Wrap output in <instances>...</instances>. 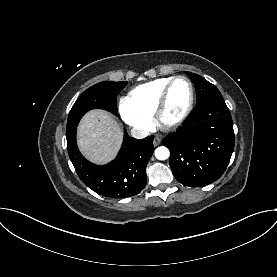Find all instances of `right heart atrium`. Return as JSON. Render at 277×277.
I'll list each match as a JSON object with an SVG mask.
<instances>
[{"label": "right heart atrium", "instance_id": "right-heart-atrium-1", "mask_svg": "<svg viewBox=\"0 0 277 277\" xmlns=\"http://www.w3.org/2000/svg\"><path fill=\"white\" fill-rule=\"evenodd\" d=\"M119 110L123 121L131 128L145 132L151 127V118L133 109L126 100L121 102Z\"/></svg>", "mask_w": 277, "mask_h": 277}]
</instances>
